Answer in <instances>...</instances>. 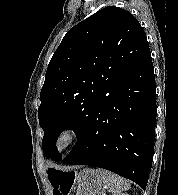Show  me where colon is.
I'll return each instance as SVG.
<instances>
[{
  "instance_id": "1",
  "label": "colon",
  "mask_w": 178,
  "mask_h": 195,
  "mask_svg": "<svg viewBox=\"0 0 178 195\" xmlns=\"http://www.w3.org/2000/svg\"><path fill=\"white\" fill-rule=\"evenodd\" d=\"M74 180V173H69L64 179V183L60 186V195H67L71 189Z\"/></svg>"
}]
</instances>
